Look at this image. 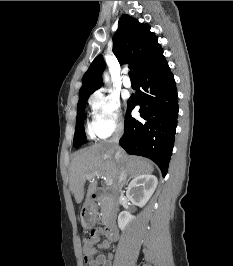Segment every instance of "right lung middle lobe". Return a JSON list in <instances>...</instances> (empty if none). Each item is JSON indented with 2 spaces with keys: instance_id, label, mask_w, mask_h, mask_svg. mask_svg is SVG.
Instances as JSON below:
<instances>
[{
  "instance_id": "obj_1",
  "label": "right lung middle lobe",
  "mask_w": 233,
  "mask_h": 266,
  "mask_svg": "<svg viewBox=\"0 0 233 266\" xmlns=\"http://www.w3.org/2000/svg\"><path fill=\"white\" fill-rule=\"evenodd\" d=\"M87 99L88 97H85L79 99L78 102L77 121L73 140V145L75 147H79L86 142V135L84 131V112Z\"/></svg>"
}]
</instances>
